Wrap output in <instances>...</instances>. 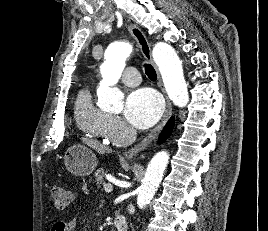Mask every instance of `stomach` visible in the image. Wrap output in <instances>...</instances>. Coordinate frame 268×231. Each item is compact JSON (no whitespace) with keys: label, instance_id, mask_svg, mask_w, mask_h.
<instances>
[{"label":"stomach","instance_id":"0dacf381","mask_svg":"<svg viewBox=\"0 0 268 231\" xmlns=\"http://www.w3.org/2000/svg\"><path fill=\"white\" fill-rule=\"evenodd\" d=\"M63 159L68 171L75 176H88L97 166L96 155L81 144L68 148Z\"/></svg>","mask_w":268,"mask_h":231}]
</instances>
